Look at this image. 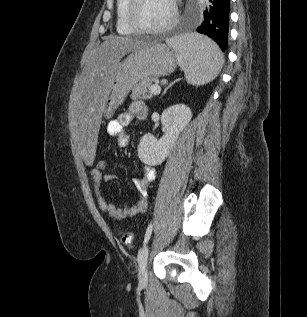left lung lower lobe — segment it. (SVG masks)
<instances>
[{
	"mask_svg": "<svg viewBox=\"0 0 307 317\" xmlns=\"http://www.w3.org/2000/svg\"><path fill=\"white\" fill-rule=\"evenodd\" d=\"M206 9L196 31L212 38L225 51L228 44L229 0H205Z\"/></svg>",
	"mask_w": 307,
	"mask_h": 317,
	"instance_id": "obj_1",
	"label": "left lung lower lobe"
}]
</instances>
